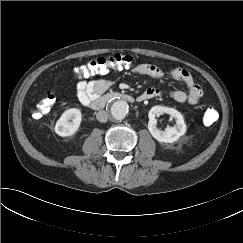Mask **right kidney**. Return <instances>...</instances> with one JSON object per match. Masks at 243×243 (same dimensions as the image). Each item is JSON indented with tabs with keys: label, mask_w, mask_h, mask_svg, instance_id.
<instances>
[{
	"label": "right kidney",
	"mask_w": 243,
	"mask_h": 243,
	"mask_svg": "<svg viewBox=\"0 0 243 243\" xmlns=\"http://www.w3.org/2000/svg\"><path fill=\"white\" fill-rule=\"evenodd\" d=\"M71 120V121H70ZM82 120L81 111L77 108L66 110L55 125V132L61 137L73 135L79 128Z\"/></svg>",
	"instance_id": "ca27d5eb"
}]
</instances>
